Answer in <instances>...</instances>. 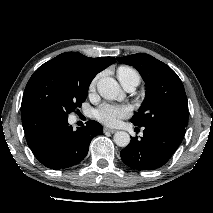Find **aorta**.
<instances>
[{"label":"aorta","mask_w":213,"mask_h":213,"mask_svg":"<svg viewBox=\"0 0 213 213\" xmlns=\"http://www.w3.org/2000/svg\"><path fill=\"white\" fill-rule=\"evenodd\" d=\"M99 94L109 100L117 99L121 95V88L117 81L111 77H103L97 82ZM114 142L119 147H126L130 143V135L125 131H117L114 134Z\"/></svg>","instance_id":"aorta-1"}]
</instances>
